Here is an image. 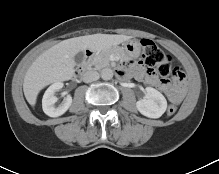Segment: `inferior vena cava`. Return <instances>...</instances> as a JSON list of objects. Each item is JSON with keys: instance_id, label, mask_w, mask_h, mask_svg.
<instances>
[{"instance_id": "1", "label": "inferior vena cava", "mask_w": 219, "mask_h": 174, "mask_svg": "<svg viewBox=\"0 0 219 174\" xmlns=\"http://www.w3.org/2000/svg\"><path fill=\"white\" fill-rule=\"evenodd\" d=\"M98 79H99V73L97 71L89 70L83 74V81L85 83H90Z\"/></svg>"}]
</instances>
